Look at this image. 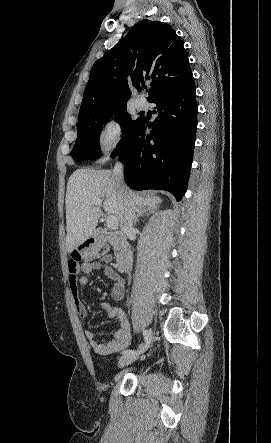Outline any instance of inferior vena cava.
I'll use <instances>...</instances> for the list:
<instances>
[{"label": "inferior vena cava", "mask_w": 271, "mask_h": 443, "mask_svg": "<svg viewBox=\"0 0 271 443\" xmlns=\"http://www.w3.org/2000/svg\"><path fill=\"white\" fill-rule=\"evenodd\" d=\"M113 180L115 182V188L119 192L124 202V214L120 223L122 231H134L133 222L135 218V206L131 202V194L129 188H127L123 178V166L120 162H116L114 170L112 172ZM117 263L119 265V271H126L129 273L133 265V255L130 249H124L121 255L117 257Z\"/></svg>", "instance_id": "602c4592"}]
</instances>
